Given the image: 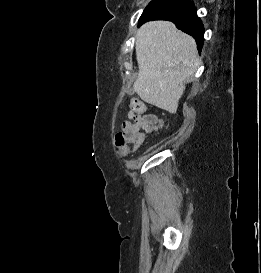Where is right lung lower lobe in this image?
I'll return each instance as SVG.
<instances>
[{
	"label": "right lung lower lobe",
	"instance_id": "right-lung-lower-lobe-1",
	"mask_svg": "<svg viewBox=\"0 0 261 273\" xmlns=\"http://www.w3.org/2000/svg\"><path fill=\"white\" fill-rule=\"evenodd\" d=\"M170 10L139 21V25L151 20L172 21L178 29L195 38L197 48L201 51L204 43V28L200 18L196 14V8L190 0H167Z\"/></svg>",
	"mask_w": 261,
	"mask_h": 273
}]
</instances>
